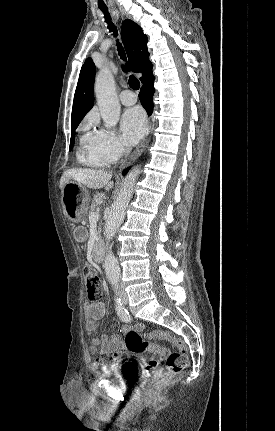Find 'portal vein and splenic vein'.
<instances>
[{
  "label": "portal vein and splenic vein",
  "instance_id": "1",
  "mask_svg": "<svg viewBox=\"0 0 275 431\" xmlns=\"http://www.w3.org/2000/svg\"><path fill=\"white\" fill-rule=\"evenodd\" d=\"M99 219V211H93L90 213L89 215V220L90 221H97Z\"/></svg>",
  "mask_w": 275,
  "mask_h": 431
}]
</instances>
